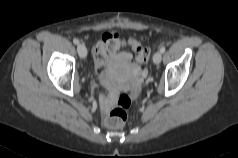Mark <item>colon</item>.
I'll use <instances>...</instances> for the list:
<instances>
[{"label": "colon", "instance_id": "1", "mask_svg": "<svg viewBox=\"0 0 238 158\" xmlns=\"http://www.w3.org/2000/svg\"><path fill=\"white\" fill-rule=\"evenodd\" d=\"M116 46L124 48L130 46L135 53L136 60L140 64H146L149 60V50L136 39L118 40ZM132 98L128 93H122L118 97L116 107L105 117L104 124L111 129L122 128L127 119V110L131 106Z\"/></svg>", "mask_w": 238, "mask_h": 158}]
</instances>
